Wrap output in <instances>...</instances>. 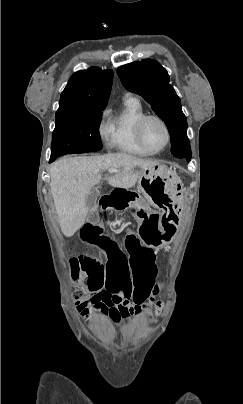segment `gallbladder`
<instances>
[{
    "instance_id": "bac80fb5",
    "label": "gallbladder",
    "mask_w": 243,
    "mask_h": 404,
    "mask_svg": "<svg viewBox=\"0 0 243 404\" xmlns=\"http://www.w3.org/2000/svg\"><path fill=\"white\" fill-rule=\"evenodd\" d=\"M97 198H99V190L97 188H92L90 193L86 198V218L89 219L90 225H95L98 219V213L96 212V202Z\"/></svg>"
}]
</instances>
